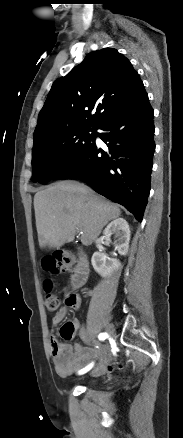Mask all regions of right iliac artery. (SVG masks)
<instances>
[{
	"label": "right iliac artery",
	"mask_w": 183,
	"mask_h": 438,
	"mask_svg": "<svg viewBox=\"0 0 183 438\" xmlns=\"http://www.w3.org/2000/svg\"><path fill=\"white\" fill-rule=\"evenodd\" d=\"M108 334L107 333H100L98 335L99 340H105L106 338H108ZM94 366V362L90 363L89 365H87L85 368L81 369L78 371L79 375L85 374L86 372H88L90 369H92V367Z\"/></svg>",
	"instance_id": "82829eb1"
}]
</instances>
